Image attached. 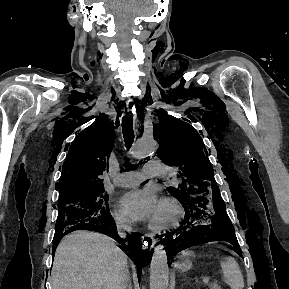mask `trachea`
I'll list each match as a JSON object with an SVG mask.
<instances>
[{
	"mask_svg": "<svg viewBox=\"0 0 289 289\" xmlns=\"http://www.w3.org/2000/svg\"><path fill=\"white\" fill-rule=\"evenodd\" d=\"M122 133L125 146L129 149L134 141L133 118L132 115L124 116L122 119Z\"/></svg>",
	"mask_w": 289,
	"mask_h": 289,
	"instance_id": "trachea-1",
	"label": "trachea"
}]
</instances>
